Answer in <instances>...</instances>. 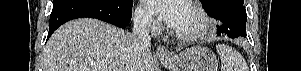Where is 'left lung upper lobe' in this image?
Instances as JSON below:
<instances>
[{
  "mask_svg": "<svg viewBox=\"0 0 301 71\" xmlns=\"http://www.w3.org/2000/svg\"><path fill=\"white\" fill-rule=\"evenodd\" d=\"M200 1L205 6L208 13H212L217 6L227 1H237L241 4H244V0H200Z\"/></svg>",
  "mask_w": 301,
  "mask_h": 71,
  "instance_id": "5c2ea615",
  "label": "left lung upper lobe"
}]
</instances>
